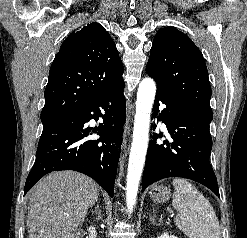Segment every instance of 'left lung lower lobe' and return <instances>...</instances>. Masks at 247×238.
I'll return each mask as SVG.
<instances>
[{
    "label": "left lung lower lobe",
    "mask_w": 247,
    "mask_h": 238,
    "mask_svg": "<svg viewBox=\"0 0 247 238\" xmlns=\"http://www.w3.org/2000/svg\"><path fill=\"white\" fill-rule=\"evenodd\" d=\"M160 104L166 107L157 119L166 124L172 142L157 144L156 139L162 135L154 134L147 152L142 190L163 178L182 177L205 185L220 197L217 179L209 162L212 148L209 132L211 121L157 90L154 115L158 114Z\"/></svg>",
    "instance_id": "left-lung-lower-lobe-1"
}]
</instances>
